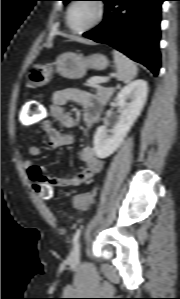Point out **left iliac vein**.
<instances>
[{
    "instance_id": "1",
    "label": "left iliac vein",
    "mask_w": 180,
    "mask_h": 299,
    "mask_svg": "<svg viewBox=\"0 0 180 299\" xmlns=\"http://www.w3.org/2000/svg\"><path fill=\"white\" fill-rule=\"evenodd\" d=\"M80 256H81V245H80V242H77V243H75V245L70 253V256H69L70 262L73 264H78L80 261Z\"/></svg>"
}]
</instances>
